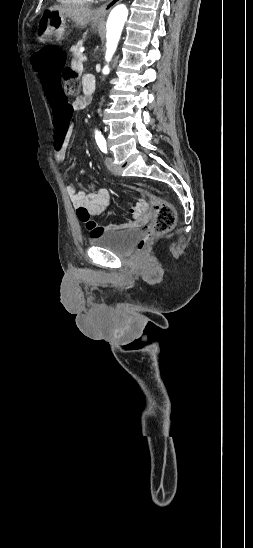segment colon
I'll return each instance as SVG.
<instances>
[{"instance_id": "5ec220e1", "label": "colon", "mask_w": 253, "mask_h": 548, "mask_svg": "<svg viewBox=\"0 0 253 548\" xmlns=\"http://www.w3.org/2000/svg\"><path fill=\"white\" fill-rule=\"evenodd\" d=\"M33 61L36 69L40 71V81L47 96V103L53 105V123L57 132L53 139L60 143L64 140L66 133L71 132L74 123L70 104L71 96L78 91L76 74L65 68L66 55L55 47L40 49L34 53ZM130 188L149 202L154 209L151 228L137 245V250L143 251L154 237L166 234L174 228L176 212L169 202L160 197L140 188Z\"/></svg>"}]
</instances>
